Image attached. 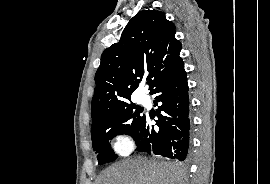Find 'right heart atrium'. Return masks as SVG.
<instances>
[{
  "mask_svg": "<svg viewBox=\"0 0 270 184\" xmlns=\"http://www.w3.org/2000/svg\"><path fill=\"white\" fill-rule=\"evenodd\" d=\"M112 147L117 154L125 156L133 150L134 141L128 132L119 131L113 137Z\"/></svg>",
  "mask_w": 270,
  "mask_h": 184,
  "instance_id": "d8ad5b80",
  "label": "right heart atrium"
}]
</instances>
